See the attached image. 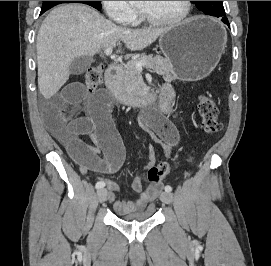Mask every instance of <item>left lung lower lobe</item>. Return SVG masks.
Wrapping results in <instances>:
<instances>
[{"instance_id": "0a47b994", "label": "left lung lower lobe", "mask_w": 271, "mask_h": 266, "mask_svg": "<svg viewBox=\"0 0 271 266\" xmlns=\"http://www.w3.org/2000/svg\"><path fill=\"white\" fill-rule=\"evenodd\" d=\"M222 19V22L223 23H225V24H227L228 26H229V22H228V19L226 18V16H223V17H221Z\"/></svg>"}]
</instances>
